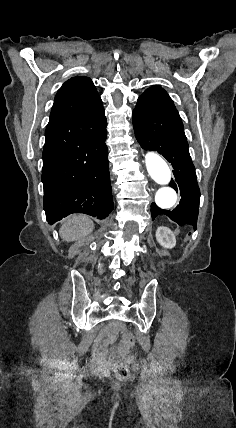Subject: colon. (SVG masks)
Instances as JSON below:
<instances>
[{
	"instance_id": "obj_1",
	"label": "colon",
	"mask_w": 236,
	"mask_h": 428,
	"mask_svg": "<svg viewBox=\"0 0 236 428\" xmlns=\"http://www.w3.org/2000/svg\"><path fill=\"white\" fill-rule=\"evenodd\" d=\"M123 345H124L125 349H131L134 347L135 338L131 333H126L124 335ZM114 373H115V376L120 380H126L130 376L129 367L123 361H119L118 363H116V365L114 366Z\"/></svg>"
}]
</instances>
